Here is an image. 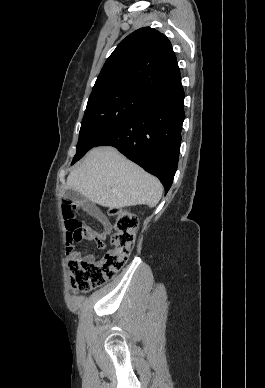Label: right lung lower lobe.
<instances>
[{
  "label": "right lung lower lobe",
  "mask_w": 265,
  "mask_h": 388,
  "mask_svg": "<svg viewBox=\"0 0 265 388\" xmlns=\"http://www.w3.org/2000/svg\"><path fill=\"white\" fill-rule=\"evenodd\" d=\"M181 81L147 96L137 110L102 137L94 147L117 148L133 162L171 187L177 170L184 121Z\"/></svg>",
  "instance_id": "right-lung-lower-lobe-1"
}]
</instances>
